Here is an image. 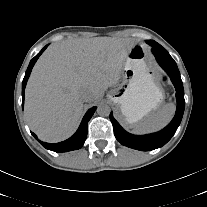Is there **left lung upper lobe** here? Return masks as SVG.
<instances>
[{"instance_id": "1", "label": "left lung upper lobe", "mask_w": 207, "mask_h": 207, "mask_svg": "<svg viewBox=\"0 0 207 207\" xmlns=\"http://www.w3.org/2000/svg\"><path fill=\"white\" fill-rule=\"evenodd\" d=\"M146 42H147L149 45H150V43H152V42L157 43V42H155V41H153V40H147Z\"/></svg>"}]
</instances>
